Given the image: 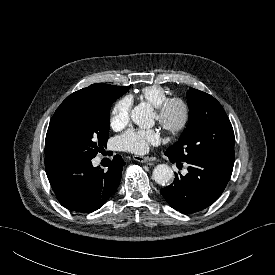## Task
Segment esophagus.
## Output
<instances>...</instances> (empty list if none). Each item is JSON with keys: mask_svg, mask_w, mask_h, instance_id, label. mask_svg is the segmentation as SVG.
I'll use <instances>...</instances> for the list:
<instances>
[{"mask_svg": "<svg viewBox=\"0 0 275 275\" xmlns=\"http://www.w3.org/2000/svg\"><path fill=\"white\" fill-rule=\"evenodd\" d=\"M134 160L141 162V163H145V162H149V161H154L156 160L154 157H143V156H134L133 157Z\"/></svg>", "mask_w": 275, "mask_h": 275, "instance_id": "obj_1", "label": "esophagus"}]
</instances>
